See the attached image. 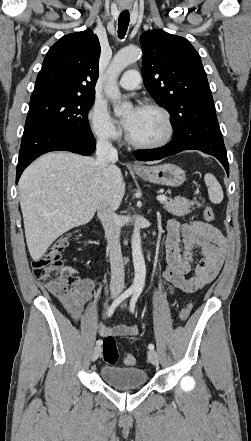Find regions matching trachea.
I'll use <instances>...</instances> for the list:
<instances>
[{"instance_id":"trachea-1","label":"trachea","mask_w":251,"mask_h":441,"mask_svg":"<svg viewBox=\"0 0 251 441\" xmlns=\"http://www.w3.org/2000/svg\"><path fill=\"white\" fill-rule=\"evenodd\" d=\"M130 21V14L128 10H125L120 13L119 19H118V37L120 39H123L126 35L128 26Z\"/></svg>"}]
</instances>
